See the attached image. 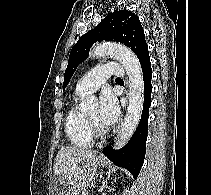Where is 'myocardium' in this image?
Instances as JSON below:
<instances>
[{
    "instance_id": "obj_1",
    "label": "myocardium",
    "mask_w": 211,
    "mask_h": 195,
    "mask_svg": "<svg viewBox=\"0 0 211 195\" xmlns=\"http://www.w3.org/2000/svg\"><path fill=\"white\" fill-rule=\"evenodd\" d=\"M88 121L90 125V130L93 136L95 137H104L106 134L105 129L100 126L95 120H93L90 116H88Z\"/></svg>"
}]
</instances>
